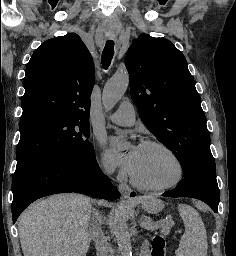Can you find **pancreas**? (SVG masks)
I'll return each instance as SVG.
<instances>
[{"label":"pancreas","mask_w":236,"mask_h":256,"mask_svg":"<svg viewBox=\"0 0 236 256\" xmlns=\"http://www.w3.org/2000/svg\"><path fill=\"white\" fill-rule=\"evenodd\" d=\"M147 224H150V226H145V230H159V226H154L153 222H147Z\"/></svg>","instance_id":"obj_1"}]
</instances>
